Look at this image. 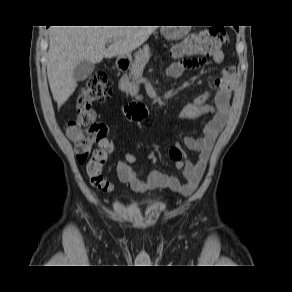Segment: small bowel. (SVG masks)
<instances>
[{"label": "small bowel", "instance_id": "small-bowel-1", "mask_svg": "<svg viewBox=\"0 0 292 292\" xmlns=\"http://www.w3.org/2000/svg\"><path fill=\"white\" fill-rule=\"evenodd\" d=\"M224 57L223 51L218 49L213 53V62L220 64L224 61ZM205 63L206 60L202 57L179 60L168 66L166 75L170 78H177L183 70L199 69ZM235 81V68L232 66L224 68L221 77L214 81L217 87L216 92H205L182 108L180 113L182 118H197L203 115H210L201 137H190L184 140L185 146L189 150L196 152L198 157L194 162L184 159L175 162L176 167L182 170V180L158 170H152L146 177L142 178L140 173L131 166L136 161V157L130 153H126L124 160L119 161L117 164L116 172L119 180L129 184L135 191L166 188L185 196L192 194L205 172L215 140L226 123ZM209 97L214 98V103L212 105L204 104Z\"/></svg>", "mask_w": 292, "mask_h": 292}]
</instances>
